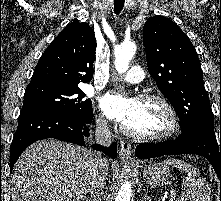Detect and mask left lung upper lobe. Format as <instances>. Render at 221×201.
Here are the masks:
<instances>
[{
	"instance_id": "1",
	"label": "left lung upper lobe",
	"mask_w": 221,
	"mask_h": 201,
	"mask_svg": "<svg viewBox=\"0 0 221 201\" xmlns=\"http://www.w3.org/2000/svg\"><path fill=\"white\" fill-rule=\"evenodd\" d=\"M143 40L148 71L177 112L181 131L192 126L213 129L202 69L188 36L172 20L154 16L144 25Z\"/></svg>"
}]
</instances>
